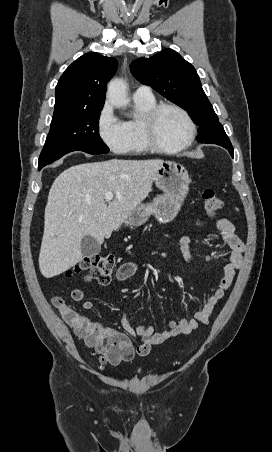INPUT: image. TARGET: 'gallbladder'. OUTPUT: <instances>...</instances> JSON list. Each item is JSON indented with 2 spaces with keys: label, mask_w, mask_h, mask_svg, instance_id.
I'll list each match as a JSON object with an SVG mask.
<instances>
[{
  "label": "gallbladder",
  "mask_w": 272,
  "mask_h": 452,
  "mask_svg": "<svg viewBox=\"0 0 272 452\" xmlns=\"http://www.w3.org/2000/svg\"><path fill=\"white\" fill-rule=\"evenodd\" d=\"M101 250L97 240L89 235H85L81 241V252L85 257H93Z\"/></svg>",
  "instance_id": "bac80fb5"
}]
</instances>
